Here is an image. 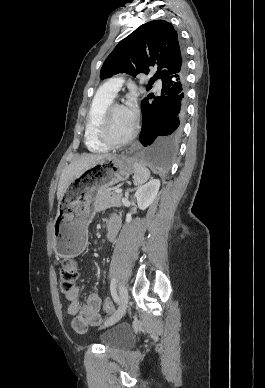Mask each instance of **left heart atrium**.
Here are the masks:
<instances>
[{"label":"left heart atrium","mask_w":265,"mask_h":388,"mask_svg":"<svg viewBox=\"0 0 265 388\" xmlns=\"http://www.w3.org/2000/svg\"><path fill=\"white\" fill-rule=\"evenodd\" d=\"M125 113L127 115V118L131 123L135 122L139 115V110L136 102L134 100H130L127 102L126 106L124 107Z\"/></svg>","instance_id":"39dd6f15"}]
</instances>
